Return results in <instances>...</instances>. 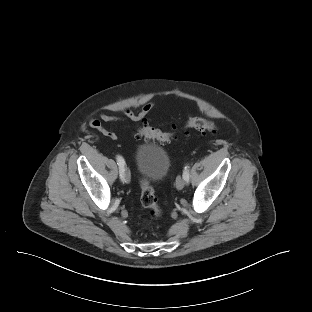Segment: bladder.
Returning <instances> with one entry per match:
<instances>
[{
	"mask_svg": "<svg viewBox=\"0 0 312 312\" xmlns=\"http://www.w3.org/2000/svg\"><path fill=\"white\" fill-rule=\"evenodd\" d=\"M139 173L147 180L159 182L165 178L170 166L167 151L158 145L141 144L135 153Z\"/></svg>",
	"mask_w": 312,
	"mask_h": 312,
	"instance_id": "1",
	"label": "bladder"
}]
</instances>
